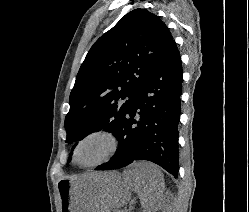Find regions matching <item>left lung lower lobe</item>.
Segmentation results:
<instances>
[{"mask_svg":"<svg viewBox=\"0 0 249 212\" xmlns=\"http://www.w3.org/2000/svg\"><path fill=\"white\" fill-rule=\"evenodd\" d=\"M181 83V59L173 41L134 96L119 126L116 155L95 170L117 169L147 160L178 176Z\"/></svg>","mask_w":249,"mask_h":212,"instance_id":"obj_1","label":"left lung lower lobe"}]
</instances>
